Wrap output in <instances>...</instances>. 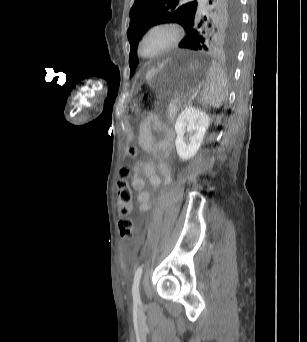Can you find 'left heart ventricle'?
Instances as JSON below:
<instances>
[{
  "mask_svg": "<svg viewBox=\"0 0 307 342\" xmlns=\"http://www.w3.org/2000/svg\"><path fill=\"white\" fill-rule=\"evenodd\" d=\"M171 39V32L167 28L152 29L144 38L142 52L145 56H152L161 50Z\"/></svg>",
  "mask_w": 307,
  "mask_h": 342,
  "instance_id": "obj_1",
  "label": "left heart ventricle"
}]
</instances>
